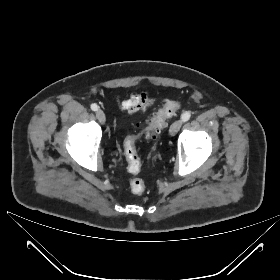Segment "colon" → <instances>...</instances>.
<instances>
[{"mask_svg": "<svg viewBox=\"0 0 280 280\" xmlns=\"http://www.w3.org/2000/svg\"><path fill=\"white\" fill-rule=\"evenodd\" d=\"M180 106L181 103L178 101L168 102L154 113L148 124L141 128L137 134L126 137L124 141V154L130 172L136 174L141 168V162L136 151V142L142 136H145L147 139H155L156 134L165 126L167 119L173 117ZM130 189L133 194H142L145 190V183L142 179L135 178L130 182Z\"/></svg>", "mask_w": 280, "mask_h": 280, "instance_id": "obj_1", "label": "colon"}]
</instances>
